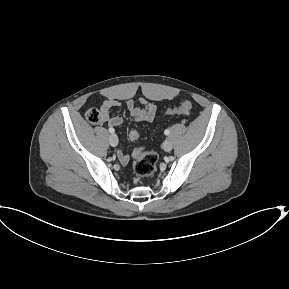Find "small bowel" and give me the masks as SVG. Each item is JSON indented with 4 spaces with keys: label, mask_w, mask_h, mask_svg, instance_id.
I'll list each match as a JSON object with an SVG mask.
<instances>
[{
    "label": "small bowel",
    "mask_w": 289,
    "mask_h": 289,
    "mask_svg": "<svg viewBox=\"0 0 289 289\" xmlns=\"http://www.w3.org/2000/svg\"><path fill=\"white\" fill-rule=\"evenodd\" d=\"M121 102L114 99H107L103 102L100 110L104 114L102 122H107L110 128H118L122 125L123 119L121 116L110 117V111L112 108L119 107ZM126 106L131 113V116L136 121L151 122L154 120L157 106L154 103L141 100L139 104H136L133 100H128ZM117 157L122 164L129 162V156L122 150H118Z\"/></svg>",
    "instance_id": "c3829d8e"
}]
</instances>
